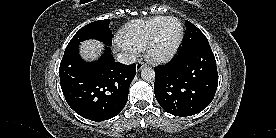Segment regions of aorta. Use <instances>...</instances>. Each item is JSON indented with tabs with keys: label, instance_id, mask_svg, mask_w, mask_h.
Returning <instances> with one entry per match:
<instances>
[{
	"label": "aorta",
	"instance_id": "762f6f07",
	"mask_svg": "<svg viewBox=\"0 0 276 138\" xmlns=\"http://www.w3.org/2000/svg\"><path fill=\"white\" fill-rule=\"evenodd\" d=\"M141 77L145 81H153L155 79V71L150 67H145L141 71Z\"/></svg>",
	"mask_w": 276,
	"mask_h": 138
}]
</instances>
